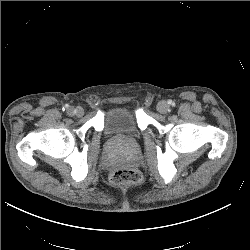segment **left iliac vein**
<instances>
[{
	"instance_id": "left-iliac-vein-1",
	"label": "left iliac vein",
	"mask_w": 250,
	"mask_h": 250,
	"mask_svg": "<svg viewBox=\"0 0 250 250\" xmlns=\"http://www.w3.org/2000/svg\"><path fill=\"white\" fill-rule=\"evenodd\" d=\"M157 110L160 112V113H167L169 111V105L167 104V102L165 101H160L157 105Z\"/></svg>"
}]
</instances>
